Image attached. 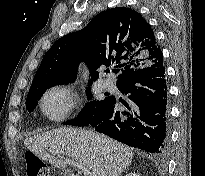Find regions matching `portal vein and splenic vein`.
Instances as JSON below:
<instances>
[{
    "label": "portal vein and splenic vein",
    "mask_w": 205,
    "mask_h": 176,
    "mask_svg": "<svg viewBox=\"0 0 205 176\" xmlns=\"http://www.w3.org/2000/svg\"><path fill=\"white\" fill-rule=\"evenodd\" d=\"M50 151H51V150H50ZM51 152H52L53 154H58V155H59V153L56 152V151H51ZM60 157H61L62 159H65V162H66L68 165H71V166L77 168L78 170H80V171L84 174V176H90V172H89V170H88L87 167H85V166L79 164V163L76 162V161H73V160L64 158V156H60Z\"/></svg>",
    "instance_id": "1"
}]
</instances>
